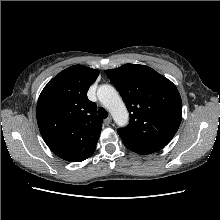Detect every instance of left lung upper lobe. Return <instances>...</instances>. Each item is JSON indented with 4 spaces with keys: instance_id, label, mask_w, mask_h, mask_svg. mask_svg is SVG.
Masks as SVG:
<instances>
[{
    "instance_id": "1",
    "label": "left lung upper lobe",
    "mask_w": 220,
    "mask_h": 220,
    "mask_svg": "<svg viewBox=\"0 0 220 220\" xmlns=\"http://www.w3.org/2000/svg\"><path fill=\"white\" fill-rule=\"evenodd\" d=\"M105 73L130 114L129 125L118 129L124 145L138 154L164 148L182 119V102L176 86L145 65L125 64Z\"/></svg>"
}]
</instances>
